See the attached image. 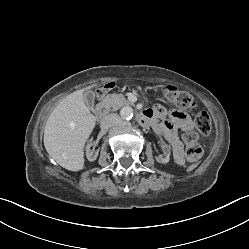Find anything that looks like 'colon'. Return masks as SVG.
Instances as JSON below:
<instances>
[{
	"instance_id": "5ec220e1",
	"label": "colon",
	"mask_w": 249,
	"mask_h": 249,
	"mask_svg": "<svg viewBox=\"0 0 249 249\" xmlns=\"http://www.w3.org/2000/svg\"><path fill=\"white\" fill-rule=\"evenodd\" d=\"M114 83H108L99 92V97L112 89ZM161 93L170 101L176 103L179 106L191 108L195 105L194 99L188 92L180 90L171 85H165L161 87ZM194 130L185 131L182 135L184 142L186 143L185 156L188 162L197 163L203 157V149L196 142L198 134L208 135L212 130V120L207 112H199L194 118Z\"/></svg>"
}]
</instances>
